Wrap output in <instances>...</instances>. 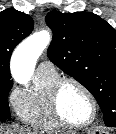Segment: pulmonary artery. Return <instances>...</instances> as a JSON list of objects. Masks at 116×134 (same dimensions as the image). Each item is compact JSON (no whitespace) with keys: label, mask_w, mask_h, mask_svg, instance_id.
Wrapping results in <instances>:
<instances>
[{"label":"pulmonary artery","mask_w":116,"mask_h":134,"mask_svg":"<svg viewBox=\"0 0 116 134\" xmlns=\"http://www.w3.org/2000/svg\"><path fill=\"white\" fill-rule=\"evenodd\" d=\"M54 71L56 70L53 63L48 60H44L41 63H39L36 72H54Z\"/></svg>","instance_id":"1"}]
</instances>
